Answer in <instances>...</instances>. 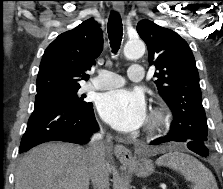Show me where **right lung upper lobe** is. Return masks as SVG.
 <instances>
[{
  "label": "right lung upper lobe",
  "instance_id": "right-lung-upper-lobe-1",
  "mask_svg": "<svg viewBox=\"0 0 223 189\" xmlns=\"http://www.w3.org/2000/svg\"><path fill=\"white\" fill-rule=\"evenodd\" d=\"M103 49L102 32L93 18L60 34L45 50L36 80L37 92L80 87Z\"/></svg>",
  "mask_w": 223,
  "mask_h": 189
}]
</instances>
